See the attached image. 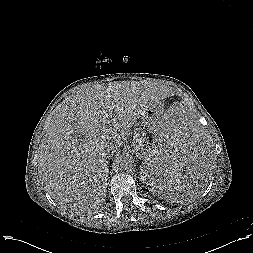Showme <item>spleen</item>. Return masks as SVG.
I'll return each mask as SVG.
<instances>
[{
  "instance_id": "3e777b00",
  "label": "spleen",
  "mask_w": 253,
  "mask_h": 253,
  "mask_svg": "<svg viewBox=\"0 0 253 253\" xmlns=\"http://www.w3.org/2000/svg\"><path fill=\"white\" fill-rule=\"evenodd\" d=\"M213 141L191 110L166 114L141 154L139 167L152 192L171 202L196 198L214 171Z\"/></svg>"
}]
</instances>
